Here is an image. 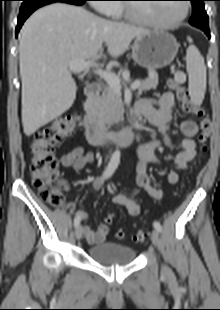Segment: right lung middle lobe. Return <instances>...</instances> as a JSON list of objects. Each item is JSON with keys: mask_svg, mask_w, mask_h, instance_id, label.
Returning a JSON list of instances; mask_svg holds the SVG:
<instances>
[{"mask_svg": "<svg viewBox=\"0 0 220 310\" xmlns=\"http://www.w3.org/2000/svg\"><path fill=\"white\" fill-rule=\"evenodd\" d=\"M23 1H31V0H23Z\"/></svg>", "mask_w": 220, "mask_h": 310, "instance_id": "right-lung-middle-lobe-1", "label": "right lung middle lobe"}]
</instances>
